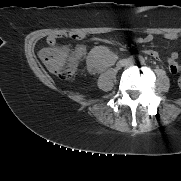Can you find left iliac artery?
Returning <instances> with one entry per match:
<instances>
[{"label":"left iliac artery","instance_id":"obj_1","mask_svg":"<svg viewBox=\"0 0 181 181\" xmlns=\"http://www.w3.org/2000/svg\"><path fill=\"white\" fill-rule=\"evenodd\" d=\"M140 63L143 65L145 63V60L143 58H140Z\"/></svg>","mask_w":181,"mask_h":181}]
</instances>
